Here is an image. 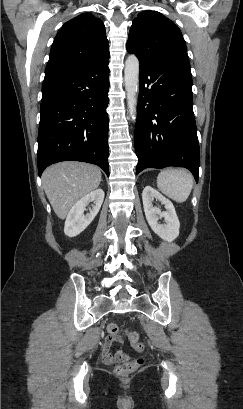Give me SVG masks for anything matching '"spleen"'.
Segmentation results:
<instances>
[{"label":"spleen","instance_id":"1","mask_svg":"<svg viewBox=\"0 0 243 409\" xmlns=\"http://www.w3.org/2000/svg\"><path fill=\"white\" fill-rule=\"evenodd\" d=\"M157 186L169 198L184 202L193 188V176L185 169L164 170L157 177Z\"/></svg>","mask_w":243,"mask_h":409}]
</instances>
